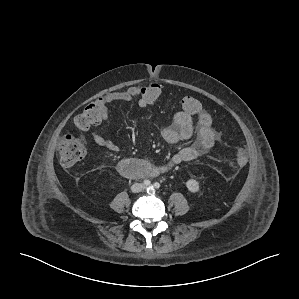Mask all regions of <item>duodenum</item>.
<instances>
[{
  "label": "duodenum",
  "mask_w": 299,
  "mask_h": 299,
  "mask_svg": "<svg viewBox=\"0 0 299 299\" xmlns=\"http://www.w3.org/2000/svg\"><path fill=\"white\" fill-rule=\"evenodd\" d=\"M145 163L139 159H125L118 164L119 172L126 177H138L143 174Z\"/></svg>",
  "instance_id": "obj_1"
}]
</instances>
